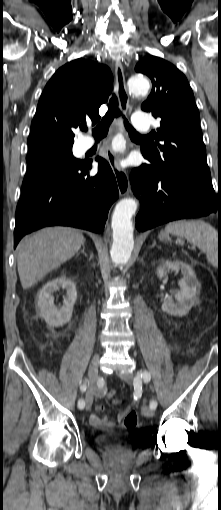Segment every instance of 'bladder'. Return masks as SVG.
<instances>
[{"label":"bladder","instance_id":"31cf9c89","mask_svg":"<svg viewBox=\"0 0 221 510\" xmlns=\"http://www.w3.org/2000/svg\"><path fill=\"white\" fill-rule=\"evenodd\" d=\"M97 443L104 449H114L116 447H126L132 449L141 444V441H135L119 433H110L97 438Z\"/></svg>","mask_w":221,"mask_h":510}]
</instances>
